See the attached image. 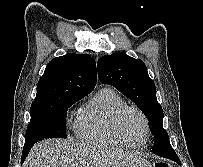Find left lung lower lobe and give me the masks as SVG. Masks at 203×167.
Listing matches in <instances>:
<instances>
[{
  "mask_svg": "<svg viewBox=\"0 0 203 167\" xmlns=\"http://www.w3.org/2000/svg\"><path fill=\"white\" fill-rule=\"evenodd\" d=\"M153 152L159 156L174 160L176 154L169 141H162L158 144L153 145Z\"/></svg>",
  "mask_w": 203,
  "mask_h": 167,
  "instance_id": "obj_1",
  "label": "left lung lower lobe"
}]
</instances>
